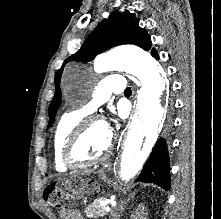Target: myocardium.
I'll use <instances>...</instances> for the list:
<instances>
[{
    "mask_svg": "<svg viewBox=\"0 0 221 219\" xmlns=\"http://www.w3.org/2000/svg\"><path fill=\"white\" fill-rule=\"evenodd\" d=\"M99 122L101 123L102 120L98 116H90L87 118H84L71 132L68 139L65 142L63 152H62V158L63 161L71 168H88L91 166H94L96 164H99L100 162L104 161L108 156L112 153L115 147V136L112 132L109 131V144L106 148V150L98 157L89 160V161H80L75 156V149L76 146L85 131V129L92 123Z\"/></svg>",
    "mask_w": 221,
    "mask_h": 219,
    "instance_id": "obj_1",
    "label": "myocardium"
}]
</instances>
